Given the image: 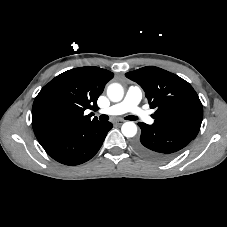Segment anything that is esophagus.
<instances>
[{
    "mask_svg": "<svg viewBox=\"0 0 227 227\" xmlns=\"http://www.w3.org/2000/svg\"><path fill=\"white\" fill-rule=\"evenodd\" d=\"M124 121L123 120H116L115 123L118 124V125H121Z\"/></svg>",
    "mask_w": 227,
    "mask_h": 227,
    "instance_id": "1",
    "label": "esophagus"
}]
</instances>
